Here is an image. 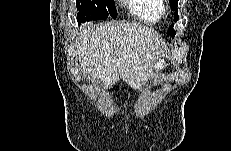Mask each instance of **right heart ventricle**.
<instances>
[{
	"label": "right heart ventricle",
	"mask_w": 231,
	"mask_h": 151,
	"mask_svg": "<svg viewBox=\"0 0 231 151\" xmlns=\"http://www.w3.org/2000/svg\"><path fill=\"white\" fill-rule=\"evenodd\" d=\"M127 3L131 13L145 24L158 22L164 13L161 0H129Z\"/></svg>",
	"instance_id": "right-heart-ventricle-1"
}]
</instances>
